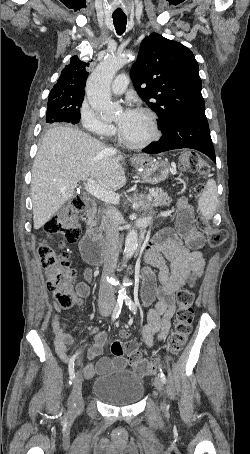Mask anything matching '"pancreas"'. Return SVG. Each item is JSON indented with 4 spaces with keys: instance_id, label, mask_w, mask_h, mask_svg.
<instances>
[{
    "instance_id": "cf45deb5",
    "label": "pancreas",
    "mask_w": 250,
    "mask_h": 454,
    "mask_svg": "<svg viewBox=\"0 0 250 454\" xmlns=\"http://www.w3.org/2000/svg\"><path fill=\"white\" fill-rule=\"evenodd\" d=\"M153 200L151 202L152 206H168L170 204V199L168 195L163 192L161 189H154L150 192ZM92 225L96 227L98 232V237L102 238V231L104 230V219L102 215L98 214L94 217Z\"/></svg>"
}]
</instances>
